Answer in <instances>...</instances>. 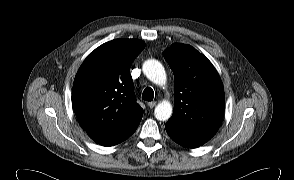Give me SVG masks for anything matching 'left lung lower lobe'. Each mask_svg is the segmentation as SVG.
I'll return each instance as SVG.
<instances>
[{"mask_svg": "<svg viewBox=\"0 0 294 180\" xmlns=\"http://www.w3.org/2000/svg\"><path fill=\"white\" fill-rule=\"evenodd\" d=\"M170 138L176 143L187 148H197L210 140L217 130L191 131L178 127L172 122L165 125Z\"/></svg>", "mask_w": 294, "mask_h": 180, "instance_id": "obj_1", "label": "left lung lower lobe"}]
</instances>
